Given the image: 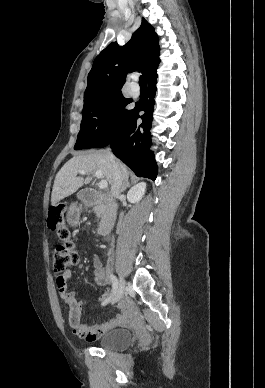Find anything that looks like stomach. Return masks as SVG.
Wrapping results in <instances>:
<instances>
[{
	"mask_svg": "<svg viewBox=\"0 0 265 388\" xmlns=\"http://www.w3.org/2000/svg\"><path fill=\"white\" fill-rule=\"evenodd\" d=\"M78 215H79V208L77 206V204H72L69 208V212H68V220L69 221H76L78 219Z\"/></svg>",
	"mask_w": 265,
	"mask_h": 388,
	"instance_id": "stomach-1",
	"label": "stomach"
}]
</instances>
